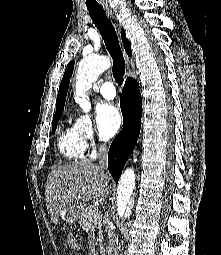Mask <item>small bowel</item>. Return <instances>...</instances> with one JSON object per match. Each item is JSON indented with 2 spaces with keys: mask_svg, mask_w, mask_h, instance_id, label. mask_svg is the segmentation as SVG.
Returning a JSON list of instances; mask_svg holds the SVG:
<instances>
[{
  "mask_svg": "<svg viewBox=\"0 0 221 255\" xmlns=\"http://www.w3.org/2000/svg\"><path fill=\"white\" fill-rule=\"evenodd\" d=\"M67 244L70 248H72L75 251H79L81 249V245L79 240L74 234H68L66 238Z\"/></svg>",
  "mask_w": 221,
  "mask_h": 255,
  "instance_id": "1",
  "label": "small bowel"
}]
</instances>
